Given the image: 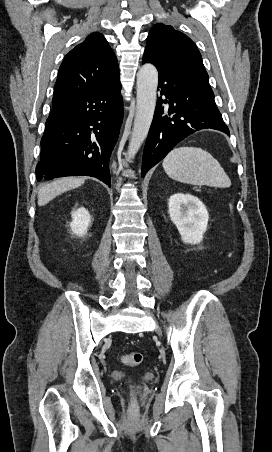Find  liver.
Segmentation results:
<instances>
[{
  "mask_svg": "<svg viewBox=\"0 0 272 452\" xmlns=\"http://www.w3.org/2000/svg\"><path fill=\"white\" fill-rule=\"evenodd\" d=\"M85 182V178L81 177H65L54 180L51 183L43 185L38 192V205L44 206L49 201L63 192L81 186Z\"/></svg>",
  "mask_w": 272,
  "mask_h": 452,
  "instance_id": "1",
  "label": "liver"
}]
</instances>
